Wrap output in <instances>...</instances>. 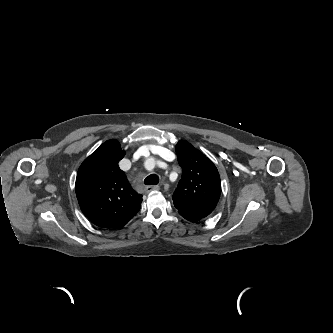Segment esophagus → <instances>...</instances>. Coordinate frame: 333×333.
<instances>
[{"mask_svg": "<svg viewBox=\"0 0 333 333\" xmlns=\"http://www.w3.org/2000/svg\"><path fill=\"white\" fill-rule=\"evenodd\" d=\"M159 189H160V186H158V185H150V186L146 187V192H151V191L159 190Z\"/></svg>", "mask_w": 333, "mask_h": 333, "instance_id": "34e87169", "label": "esophagus"}]
</instances>
